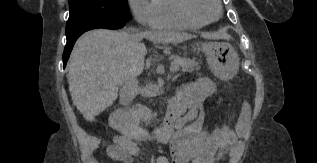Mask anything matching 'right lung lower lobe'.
<instances>
[{
    "label": "right lung lower lobe",
    "mask_w": 317,
    "mask_h": 163,
    "mask_svg": "<svg viewBox=\"0 0 317 163\" xmlns=\"http://www.w3.org/2000/svg\"><path fill=\"white\" fill-rule=\"evenodd\" d=\"M124 25H125L124 21H100V22L92 24L88 27L80 29V30L66 36L67 43H66L64 53H63V67L65 68V66L67 64V61L69 59V56H70V53L72 51V48H73L75 41L84 32L91 30V29H96V28L119 29V28H122Z\"/></svg>",
    "instance_id": "1"
}]
</instances>
